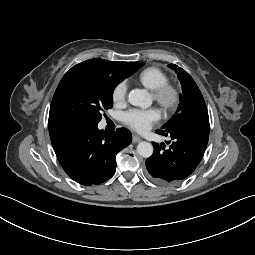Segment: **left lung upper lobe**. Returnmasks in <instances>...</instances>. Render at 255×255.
<instances>
[{
	"label": "left lung upper lobe",
	"instance_id": "left-lung-upper-lobe-1",
	"mask_svg": "<svg viewBox=\"0 0 255 255\" xmlns=\"http://www.w3.org/2000/svg\"><path fill=\"white\" fill-rule=\"evenodd\" d=\"M172 70H175V72L178 75V79L182 85V95H181V103L179 104L178 112L177 114L171 118L163 127L162 129L169 126L171 123H173L176 118L179 116V114L188 109L189 107L204 102L203 96L197 87L195 81L192 79V77L182 68L177 67L175 64L168 65Z\"/></svg>",
	"mask_w": 255,
	"mask_h": 255
}]
</instances>
